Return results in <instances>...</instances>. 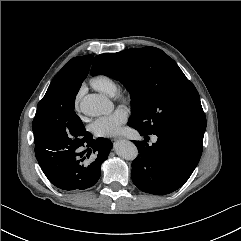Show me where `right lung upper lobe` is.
<instances>
[{
	"instance_id": "right-lung-upper-lobe-1",
	"label": "right lung upper lobe",
	"mask_w": 241,
	"mask_h": 241,
	"mask_svg": "<svg viewBox=\"0 0 241 241\" xmlns=\"http://www.w3.org/2000/svg\"><path fill=\"white\" fill-rule=\"evenodd\" d=\"M92 59V55L72 58L54 77L46 95H52L58 101H62L64 95L68 92L75 91L78 93L89 72Z\"/></svg>"
}]
</instances>
